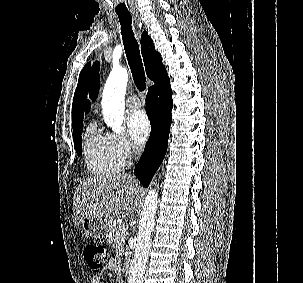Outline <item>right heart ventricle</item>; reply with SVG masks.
Wrapping results in <instances>:
<instances>
[{
  "label": "right heart ventricle",
  "instance_id": "e07e8e85",
  "mask_svg": "<svg viewBox=\"0 0 303 283\" xmlns=\"http://www.w3.org/2000/svg\"><path fill=\"white\" fill-rule=\"evenodd\" d=\"M84 157L89 172L99 177L116 175L124 166L112 152L106 135L93 123L84 134Z\"/></svg>",
  "mask_w": 303,
  "mask_h": 283
}]
</instances>
